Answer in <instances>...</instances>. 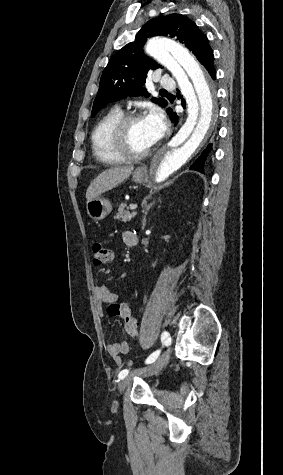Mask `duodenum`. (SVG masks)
Instances as JSON below:
<instances>
[{
	"instance_id": "1",
	"label": "duodenum",
	"mask_w": 283,
	"mask_h": 475,
	"mask_svg": "<svg viewBox=\"0 0 283 475\" xmlns=\"http://www.w3.org/2000/svg\"><path fill=\"white\" fill-rule=\"evenodd\" d=\"M135 244H136V242H135V241H133V242H132V245H135Z\"/></svg>"
}]
</instances>
